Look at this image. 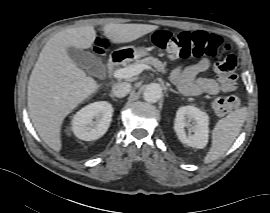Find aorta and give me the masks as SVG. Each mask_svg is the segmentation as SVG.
Listing matches in <instances>:
<instances>
[{"mask_svg": "<svg viewBox=\"0 0 270 213\" xmlns=\"http://www.w3.org/2000/svg\"><path fill=\"white\" fill-rule=\"evenodd\" d=\"M162 96V88L158 83L148 84L143 92V98L150 103L157 102Z\"/></svg>", "mask_w": 270, "mask_h": 213, "instance_id": "1", "label": "aorta"}]
</instances>
